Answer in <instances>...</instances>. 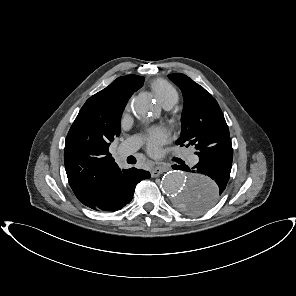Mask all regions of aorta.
Listing matches in <instances>:
<instances>
[{
  "label": "aorta",
  "mask_w": 296,
  "mask_h": 296,
  "mask_svg": "<svg viewBox=\"0 0 296 296\" xmlns=\"http://www.w3.org/2000/svg\"><path fill=\"white\" fill-rule=\"evenodd\" d=\"M134 112L146 118L156 106L149 95L136 97L132 104ZM162 190L170 201L187 213H203L211 209L218 199L217 184L208 176L193 172L169 171L161 182Z\"/></svg>",
  "instance_id": "obj_1"
}]
</instances>
